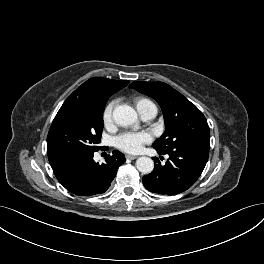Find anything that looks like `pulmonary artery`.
Here are the masks:
<instances>
[{"label":"pulmonary artery","mask_w":264,"mask_h":264,"mask_svg":"<svg viewBox=\"0 0 264 264\" xmlns=\"http://www.w3.org/2000/svg\"><path fill=\"white\" fill-rule=\"evenodd\" d=\"M157 114V108L155 105L147 107L143 112L140 113L141 118L145 121L153 119Z\"/></svg>","instance_id":"pulmonary-artery-1"}]
</instances>
